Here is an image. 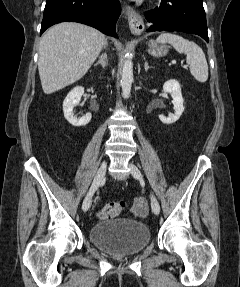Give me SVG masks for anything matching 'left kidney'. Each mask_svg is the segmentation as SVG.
I'll return each mask as SVG.
<instances>
[{"mask_svg":"<svg viewBox=\"0 0 240 287\" xmlns=\"http://www.w3.org/2000/svg\"><path fill=\"white\" fill-rule=\"evenodd\" d=\"M163 90L164 92L171 93L175 113L170 114L168 117H165L164 115H159V119L164 124H172L180 118L184 111V100L181 94V87L175 79H170L164 83Z\"/></svg>","mask_w":240,"mask_h":287,"instance_id":"1","label":"left kidney"}]
</instances>
